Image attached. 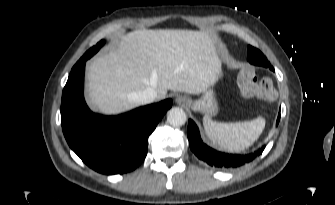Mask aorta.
I'll return each instance as SVG.
<instances>
[{
	"mask_svg": "<svg viewBox=\"0 0 335 205\" xmlns=\"http://www.w3.org/2000/svg\"><path fill=\"white\" fill-rule=\"evenodd\" d=\"M186 120L187 116L182 108L173 107L167 113V121L173 126H182L185 124Z\"/></svg>",
	"mask_w": 335,
	"mask_h": 205,
	"instance_id": "1",
	"label": "aorta"
}]
</instances>
